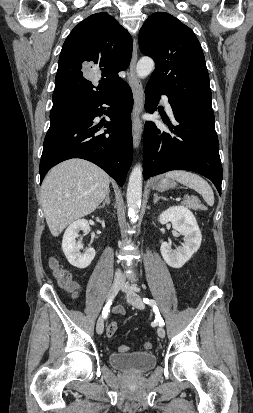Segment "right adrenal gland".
Returning <instances> with one entry per match:
<instances>
[{"label": "right adrenal gland", "mask_w": 253, "mask_h": 413, "mask_svg": "<svg viewBox=\"0 0 253 413\" xmlns=\"http://www.w3.org/2000/svg\"><path fill=\"white\" fill-rule=\"evenodd\" d=\"M109 194H110V191L107 193L106 198H105L103 204L99 207V209H100V208H104L106 204H107V205L110 204Z\"/></svg>", "instance_id": "right-adrenal-gland-1"}]
</instances>
